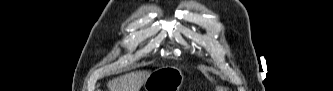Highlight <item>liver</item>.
Here are the masks:
<instances>
[{
    "mask_svg": "<svg viewBox=\"0 0 333 91\" xmlns=\"http://www.w3.org/2000/svg\"><path fill=\"white\" fill-rule=\"evenodd\" d=\"M149 74L146 70L131 72L114 78L107 86L109 91H140Z\"/></svg>",
    "mask_w": 333,
    "mask_h": 91,
    "instance_id": "liver-1",
    "label": "liver"
}]
</instances>
